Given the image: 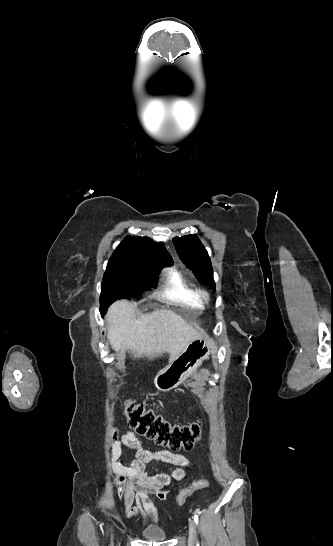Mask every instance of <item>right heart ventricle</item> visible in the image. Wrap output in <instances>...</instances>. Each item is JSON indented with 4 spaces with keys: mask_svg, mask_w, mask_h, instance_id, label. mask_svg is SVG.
Instances as JSON below:
<instances>
[{
    "mask_svg": "<svg viewBox=\"0 0 333 546\" xmlns=\"http://www.w3.org/2000/svg\"><path fill=\"white\" fill-rule=\"evenodd\" d=\"M160 296L171 303L192 309L204 306L200 290L192 286L176 268H169L164 272Z\"/></svg>",
    "mask_w": 333,
    "mask_h": 546,
    "instance_id": "e07e8e85",
    "label": "right heart ventricle"
}]
</instances>
